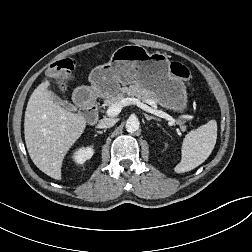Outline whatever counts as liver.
Instances as JSON below:
<instances>
[{
    "instance_id": "obj_1",
    "label": "liver",
    "mask_w": 252,
    "mask_h": 252,
    "mask_svg": "<svg viewBox=\"0 0 252 252\" xmlns=\"http://www.w3.org/2000/svg\"><path fill=\"white\" fill-rule=\"evenodd\" d=\"M49 86V81L43 82L29 98L24 119L25 143L33 163L46 175L61 180L63 159L83 134L86 119L56 104Z\"/></svg>"
}]
</instances>
